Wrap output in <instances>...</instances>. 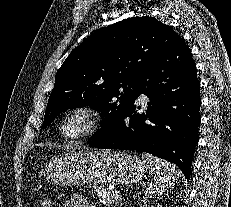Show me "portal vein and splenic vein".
I'll return each mask as SVG.
<instances>
[{
  "mask_svg": "<svg viewBox=\"0 0 231 207\" xmlns=\"http://www.w3.org/2000/svg\"><path fill=\"white\" fill-rule=\"evenodd\" d=\"M120 197V195L117 193V196H116V198L118 199Z\"/></svg>",
  "mask_w": 231,
  "mask_h": 207,
  "instance_id": "portal-vein-and-splenic-vein-1",
  "label": "portal vein and splenic vein"
}]
</instances>
